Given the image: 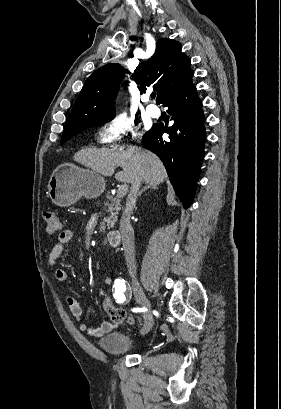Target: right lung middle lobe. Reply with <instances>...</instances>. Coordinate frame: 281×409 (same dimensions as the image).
Here are the masks:
<instances>
[{
    "instance_id": "right-lung-middle-lobe-1",
    "label": "right lung middle lobe",
    "mask_w": 281,
    "mask_h": 409,
    "mask_svg": "<svg viewBox=\"0 0 281 409\" xmlns=\"http://www.w3.org/2000/svg\"><path fill=\"white\" fill-rule=\"evenodd\" d=\"M114 116H111V117L96 121L94 123H91L89 125H85V126H82V127L65 128L60 143L62 144L64 142H66L67 140H69L71 137H73L74 135H76L77 133H79L82 130H85L87 128L94 127V126L106 123V122L112 120L114 118Z\"/></svg>"
}]
</instances>
